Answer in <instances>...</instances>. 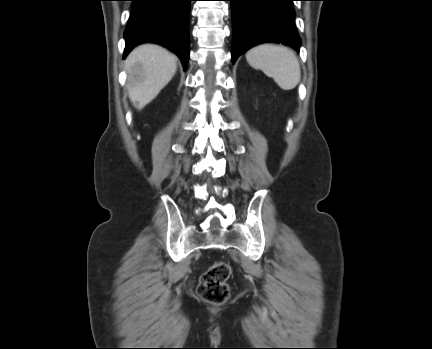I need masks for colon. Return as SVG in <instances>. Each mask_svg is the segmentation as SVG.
Listing matches in <instances>:
<instances>
[{"mask_svg":"<svg viewBox=\"0 0 432 349\" xmlns=\"http://www.w3.org/2000/svg\"><path fill=\"white\" fill-rule=\"evenodd\" d=\"M231 271V266L225 261H218L211 265L201 276L198 294L207 302L224 303L230 294L227 281Z\"/></svg>","mask_w":432,"mask_h":349,"instance_id":"colon-1","label":"colon"}]
</instances>
